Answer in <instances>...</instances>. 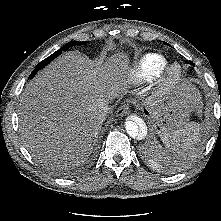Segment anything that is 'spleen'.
Wrapping results in <instances>:
<instances>
[{"label":"spleen","instance_id":"obj_1","mask_svg":"<svg viewBox=\"0 0 221 221\" xmlns=\"http://www.w3.org/2000/svg\"><path fill=\"white\" fill-rule=\"evenodd\" d=\"M197 125L194 123L167 131L161 135L163 143L170 149L180 153L190 152L198 141Z\"/></svg>","mask_w":221,"mask_h":221}]
</instances>
